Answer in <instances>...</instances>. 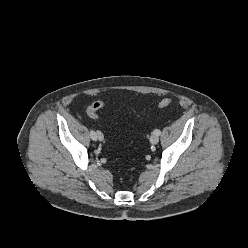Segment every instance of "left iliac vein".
Masks as SVG:
<instances>
[{
    "instance_id": "1",
    "label": "left iliac vein",
    "mask_w": 248,
    "mask_h": 248,
    "mask_svg": "<svg viewBox=\"0 0 248 248\" xmlns=\"http://www.w3.org/2000/svg\"><path fill=\"white\" fill-rule=\"evenodd\" d=\"M150 142H151L152 144H157V143L159 142V137H158L156 134H152V135L150 136Z\"/></svg>"
}]
</instances>
